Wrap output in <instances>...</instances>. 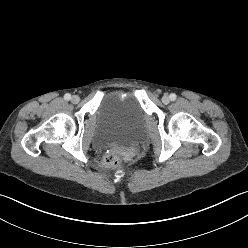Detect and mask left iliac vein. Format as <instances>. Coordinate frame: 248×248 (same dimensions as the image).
I'll list each match as a JSON object with an SVG mask.
<instances>
[{
  "instance_id": "1",
  "label": "left iliac vein",
  "mask_w": 248,
  "mask_h": 248,
  "mask_svg": "<svg viewBox=\"0 0 248 248\" xmlns=\"http://www.w3.org/2000/svg\"><path fill=\"white\" fill-rule=\"evenodd\" d=\"M162 102L164 104H168L170 102V98H169V96L167 94L163 95Z\"/></svg>"
}]
</instances>
